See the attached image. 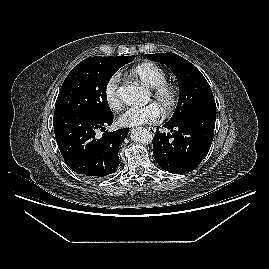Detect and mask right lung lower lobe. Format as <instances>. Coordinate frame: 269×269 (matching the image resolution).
Returning a JSON list of instances; mask_svg holds the SVG:
<instances>
[{
  "label": "right lung lower lobe",
  "mask_w": 269,
  "mask_h": 269,
  "mask_svg": "<svg viewBox=\"0 0 269 269\" xmlns=\"http://www.w3.org/2000/svg\"><path fill=\"white\" fill-rule=\"evenodd\" d=\"M113 122V114L102 117L83 111L54 113V133L66 164L77 174L91 180L117 171L118 151L129 128L96 135Z\"/></svg>",
  "instance_id": "98d812e1"
}]
</instances>
